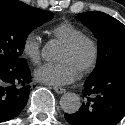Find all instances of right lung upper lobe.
<instances>
[{
    "label": "right lung upper lobe",
    "mask_w": 125,
    "mask_h": 125,
    "mask_svg": "<svg viewBox=\"0 0 125 125\" xmlns=\"http://www.w3.org/2000/svg\"><path fill=\"white\" fill-rule=\"evenodd\" d=\"M0 4H6L11 6L13 10H15L18 13H27L33 8L17 0H0Z\"/></svg>",
    "instance_id": "1"
}]
</instances>
